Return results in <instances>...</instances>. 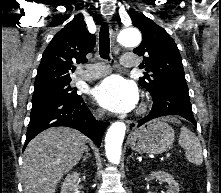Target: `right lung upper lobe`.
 I'll return each instance as SVG.
<instances>
[{"label":"right lung upper lobe","instance_id":"1","mask_svg":"<svg viewBox=\"0 0 221 193\" xmlns=\"http://www.w3.org/2000/svg\"><path fill=\"white\" fill-rule=\"evenodd\" d=\"M96 37L85 27L81 16H75L51 40L45 49L34 86L71 81L73 64L86 61L95 46Z\"/></svg>","mask_w":221,"mask_h":193}]
</instances>
